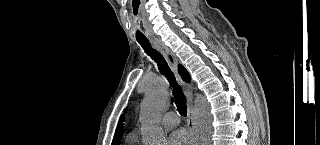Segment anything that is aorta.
Wrapping results in <instances>:
<instances>
[{"mask_svg": "<svg viewBox=\"0 0 320 145\" xmlns=\"http://www.w3.org/2000/svg\"><path fill=\"white\" fill-rule=\"evenodd\" d=\"M169 100L167 84L160 78L153 80L141 104V132L145 145H163L165 134L158 120ZM194 123L197 145H211L212 115L210 106L202 95L194 101Z\"/></svg>", "mask_w": 320, "mask_h": 145, "instance_id": "obj_1", "label": "aorta"}]
</instances>
